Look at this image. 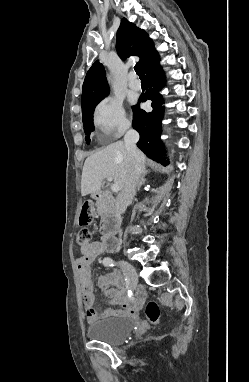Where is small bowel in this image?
<instances>
[{
    "instance_id": "obj_1",
    "label": "small bowel",
    "mask_w": 249,
    "mask_h": 382,
    "mask_svg": "<svg viewBox=\"0 0 249 382\" xmlns=\"http://www.w3.org/2000/svg\"><path fill=\"white\" fill-rule=\"evenodd\" d=\"M118 246L117 240L102 234L99 238L90 241L80 247L81 256L76 259V269L80 281L83 304L85 307V318L88 323H93L99 317H119L134 315L141 305V296L144 291L139 288L137 297L129 299L124 289V283L119 273L111 272L98 277V286L103 289L114 304L120 308H107L100 311L96 304V295L92 281L91 264L104 252L114 251Z\"/></svg>"
}]
</instances>
